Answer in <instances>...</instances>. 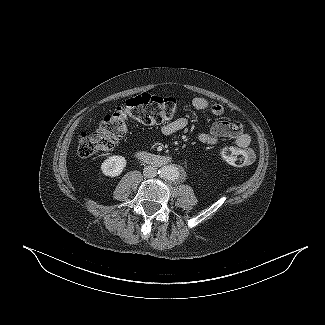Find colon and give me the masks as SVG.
<instances>
[{"mask_svg": "<svg viewBox=\"0 0 325 325\" xmlns=\"http://www.w3.org/2000/svg\"><path fill=\"white\" fill-rule=\"evenodd\" d=\"M178 108V101L169 96L143 93L132 97L106 114L96 130L79 134L78 153L81 157H89L111 150L125 136L130 121L145 125L161 124L172 119ZM220 157L235 166H245L251 161L246 150L232 146L222 148Z\"/></svg>", "mask_w": 325, "mask_h": 325, "instance_id": "obj_1", "label": "colon"}]
</instances>
